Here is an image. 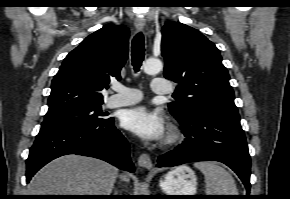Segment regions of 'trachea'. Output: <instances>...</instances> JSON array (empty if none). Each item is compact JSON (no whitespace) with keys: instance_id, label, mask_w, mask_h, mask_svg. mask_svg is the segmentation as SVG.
Segmentation results:
<instances>
[{"instance_id":"1","label":"trachea","mask_w":290,"mask_h":199,"mask_svg":"<svg viewBox=\"0 0 290 199\" xmlns=\"http://www.w3.org/2000/svg\"><path fill=\"white\" fill-rule=\"evenodd\" d=\"M144 36L140 32L135 35L132 41V65L135 72H138L145 55Z\"/></svg>"}]
</instances>
